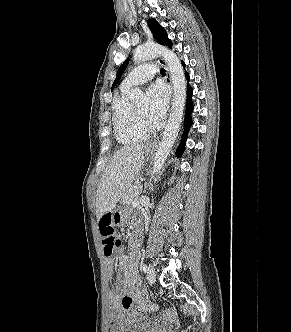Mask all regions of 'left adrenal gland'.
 Returning <instances> with one entry per match:
<instances>
[{
	"label": "left adrenal gland",
	"mask_w": 291,
	"mask_h": 332,
	"mask_svg": "<svg viewBox=\"0 0 291 332\" xmlns=\"http://www.w3.org/2000/svg\"><path fill=\"white\" fill-rule=\"evenodd\" d=\"M148 187H149V186H147V188H148ZM150 189H151V188L149 187L148 190H150Z\"/></svg>",
	"instance_id": "1"
}]
</instances>
